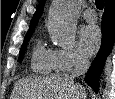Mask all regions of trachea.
Returning a JSON list of instances; mask_svg holds the SVG:
<instances>
[{
    "mask_svg": "<svg viewBox=\"0 0 115 99\" xmlns=\"http://www.w3.org/2000/svg\"><path fill=\"white\" fill-rule=\"evenodd\" d=\"M96 7L100 10L104 7V0H95Z\"/></svg>",
    "mask_w": 115,
    "mask_h": 99,
    "instance_id": "3493384b",
    "label": "trachea"
}]
</instances>
